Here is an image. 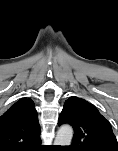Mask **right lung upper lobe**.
Returning a JSON list of instances; mask_svg holds the SVG:
<instances>
[{
    "instance_id": "cb5924a9",
    "label": "right lung upper lobe",
    "mask_w": 118,
    "mask_h": 151,
    "mask_svg": "<svg viewBox=\"0 0 118 151\" xmlns=\"http://www.w3.org/2000/svg\"><path fill=\"white\" fill-rule=\"evenodd\" d=\"M40 142L34 102L22 98L0 117V151H34Z\"/></svg>"
}]
</instances>
